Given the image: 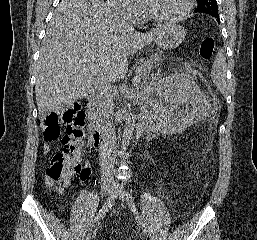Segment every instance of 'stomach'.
Wrapping results in <instances>:
<instances>
[{"label": "stomach", "mask_w": 257, "mask_h": 240, "mask_svg": "<svg viewBox=\"0 0 257 240\" xmlns=\"http://www.w3.org/2000/svg\"><path fill=\"white\" fill-rule=\"evenodd\" d=\"M185 29L177 24L168 23L155 38V44L161 49H172L179 46L185 39Z\"/></svg>", "instance_id": "0dacf381"}]
</instances>
